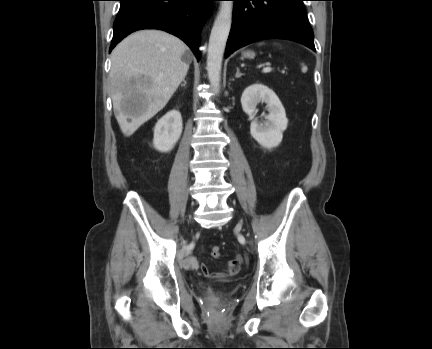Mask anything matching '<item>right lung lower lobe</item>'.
I'll list each match as a JSON object with an SVG mask.
<instances>
[{"label": "right lung lower lobe", "mask_w": 432, "mask_h": 349, "mask_svg": "<svg viewBox=\"0 0 432 349\" xmlns=\"http://www.w3.org/2000/svg\"><path fill=\"white\" fill-rule=\"evenodd\" d=\"M109 52L127 35L141 29H160L182 39L200 59L202 24L214 0H119Z\"/></svg>", "instance_id": "obj_1"}]
</instances>
